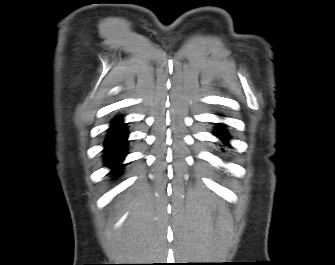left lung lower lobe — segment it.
<instances>
[{"label": "left lung lower lobe", "mask_w": 335, "mask_h": 265, "mask_svg": "<svg viewBox=\"0 0 335 265\" xmlns=\"http://www.w3.org/2000/svg\"><path fill=\"white\" fill-rule=\"evenodd\" d=\"M215 135H217L224 142H226L228 139V135L225 132H223L222 128H216Z\"/></svg>", "instance_id": "1"}]
</instances>
